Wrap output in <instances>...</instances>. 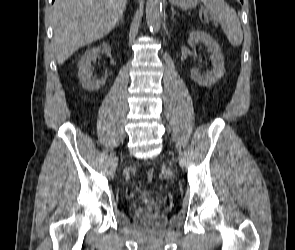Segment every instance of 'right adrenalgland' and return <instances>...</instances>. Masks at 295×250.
I'll return each instance as SVG.
<instances>
[{
  "mask_svg": "<svg viewBox=\"0 0 295 250\" xmlns=\"http://www.w3.org/2000/svg\"><path fill=\"white\" fill-rule=\"evenodd\" d=\"M124 23V17H123V14L120 16L119 20L117 21V23Z\"/></svg>",
  "mask_w": 295,
  "mask_h": 250,
  "instance_id": "1",
  "label": "right adrenal gland"
}]
</instances>
